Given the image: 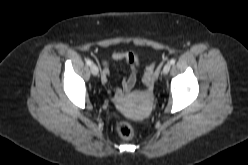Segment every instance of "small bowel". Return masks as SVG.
<instances>
[{
    "label": "small bowel",
    "instance_id": "c3829d8e",
    "mask_svg": "<svg viewBox=\"0 0 248 165\" xmlns=\"http://www.w3.org/2000/svg\"><path fill=\"white\" fill-rule=\"evenodd\" d=\"M111 59L115 62L125 61L130 66V72L128 76L122 81L121 86L112 89L109 86L110 69L108 63L106 61L102 62V82L114 93V98L119 100L135 87L140 69V61L136 53L133 51L115 52L112 54Z\"/></svg>",
    "mask_w": 248,
    "mask_h": 165
}]
</instances>
